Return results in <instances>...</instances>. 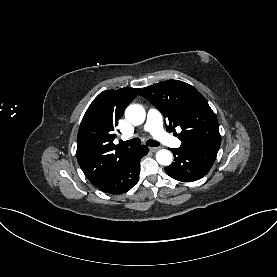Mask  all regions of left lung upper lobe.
I'll list each match as a JSON object with an SVG mask.
<instances>
[{"mask_svg":"<svg viewBox=\"0 0 277 277\" xmlns=\"http://www.w3.org/2000/svg\"><path fill=\"white\" fill-rule=\"evenodd\" d=\"M141 95L168 119V131L181 127V146L220 145L217 118L193 86L168 80L143 88Z\"/></svg>","mask_w":277,"mask_h":277,"instance_id":"5c2ea615","label":"left lung upper lobe"}]
</instances>
